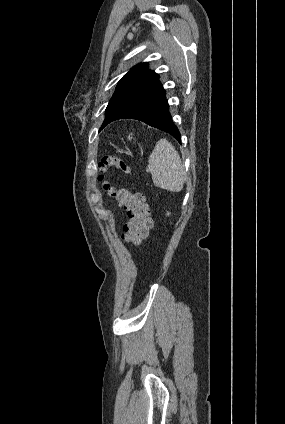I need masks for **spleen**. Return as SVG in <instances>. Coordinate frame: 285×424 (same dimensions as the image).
<instances>
[{"instance_id": "obj_1", "label": "spleen", "mask_w": 285, "mask_h": 424, "mask_svg": "<svg viewBox=\"0 0 285 424\" xmlns=\"http://www.w3.org/2000/svg\"><path fill=\"white\" fill-rule=\"evenodd\" d=\"M146 170L152 174L153 183L159 188L179 192L184 186V165L174 146L166 139L156 143Z\"/></svg>"}]
</instances>
